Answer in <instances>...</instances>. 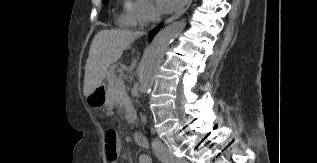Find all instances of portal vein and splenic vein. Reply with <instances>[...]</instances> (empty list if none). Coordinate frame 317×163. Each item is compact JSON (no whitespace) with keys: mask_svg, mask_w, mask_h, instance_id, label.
Segmentation results:
<instances>
[{"mask_svg":"<svg viewBox=\"0 0 317 163\" xmlns=\"http://www.w3.org/2000/svg\"><path fill=\"white\" fill-rule=\"evenodd\" d=\"M117 84H118L119 86H122V87H123L124 82H123V81H120V80H117Z\"/></svg>","mask_w":317,"mask_h":163,"instance_id":"portal-vein-and-splenic-vein-1","label":"portal vein and splenic vein"}]
</instances>
